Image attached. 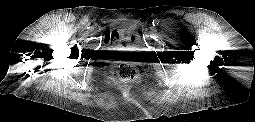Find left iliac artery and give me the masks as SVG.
Instances as JSON below:
<instances>
[{"instance_id":"44dca946","label":"left iliac artery","mask_w":255,"mask_h":122,"mask_svg":"<svg viewBox=\"0 0 255 122\" xmlns=\"http://www.w3.org/2000/svg\"><path fill=\"white\" fill-rule=\"evenodd\" d=\"M157 24V20L153 21V25Z\"/></svg>"}]
</instances>
